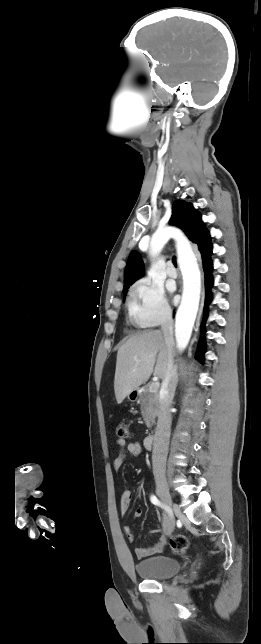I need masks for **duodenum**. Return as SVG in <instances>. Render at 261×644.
<instances>
[{
  "label": "duodenum",
  "instance_id": "1",
  "mask_svg": "<svg viewBox=\"0 0 261 644\" xmlns=\"http://www.w3.org/2000/svg\"><path fill=\"white\" fill-rule=\"evenodd\" d=\"M154 440H155L154 435H148V436H146V437L144 438V447H145L146 449H152V447H153V445H154Z\"/></svg>",
  "mask_w": 261,
  "mask_h": 644
}]
</instances>
